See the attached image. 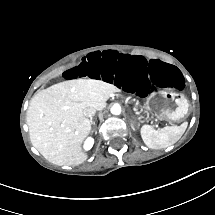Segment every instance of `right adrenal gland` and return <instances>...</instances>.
<instances>
[{"label": "right adrenal gland", "mask_w": 215, "mask_h": 215, "mask_svg": "<svg viewBox=\"0 0 215 215\" xmlns=\"http://www.w3.org/2000/svg\"><path fill=\"white\" fill-rule=\"evenodd\" d=\"M90 123L95 124V122L92 121V118L90 119ZM92 133H93V131H92ZM95 134H97V131H95Z\"/></svg>", "instance_id": "obj_1"}]
</instances>
